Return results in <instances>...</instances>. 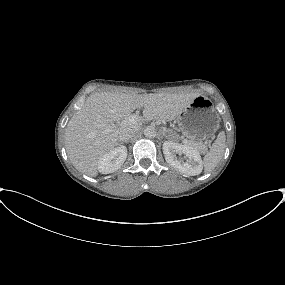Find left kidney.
Instances as JSON below:
<instances>
[{
	"label": "left kidney",
	"mask_w": 285,
	"mask_h": 285,
	"mask_svg": "<svg viewBox=\"0 0 285 285\" xmlns=\"http://www.w3.org/2000/svg\"><path fill=\"white\" fill-rule=\"evenodd\" d=\"M163 153L166 162L181 173L195 176L202 172V160L199 151L187 144H179L173 141L163 143ZM176 154H184L187 161L179 160Z\"/></svg>",
	"instance_id": "left-kidney-1"
}]
</instances>
